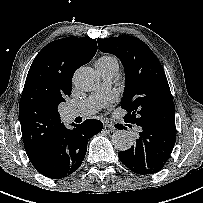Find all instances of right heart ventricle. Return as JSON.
Returning <instances> with one entry per match:
<instances>
[{
    "label": "right heart ventricle",
    "instance_id": "right-heart-ventricle-1",
    "mask_svg": "<svg viewBox=\"0 0 203 203\" xmlns=\"http://www.w3.org/2000/svg\"><path fill=\"white\" fill-rule=\"evenodd\" d=\"M97 69L117 74L119 70L118 60L111 55H104L96 62Z\"/></svg>",
    "mask_w": 203,
    "mask_h": 203
}]
</instances>
